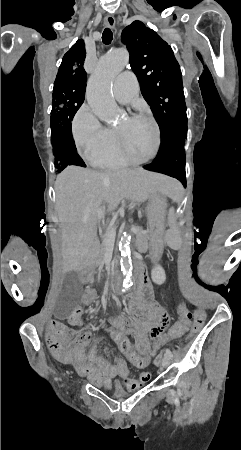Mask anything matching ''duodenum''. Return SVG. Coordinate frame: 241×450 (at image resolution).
<instances>
[{
	"label": "duodenum",
	"instance_id": "410a0bca",
	"mask_svg": "<svg viewBox=\"0 0 241 450\" xmlns=\"http://www.w3.org/2000/svg\"><path fill=\"white\" fill-rule=\"evenodd\" d=\"M93 280V272L91 270H86L82 274V281L85 284L91 283ZM135 280L136 286L139 291L146 293L149 291V284L145 275L144 266L141 262H135ZM111 290L120 292L123 290V277L120 270H116L115 277L113 278L111 285Z\"/></svg>",
	"mask_w": 241,
	"mask_h": 450
}]
</instances>
